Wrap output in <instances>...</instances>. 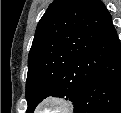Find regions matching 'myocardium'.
I'll use <instances>...</instances> for the list:
<instances>
[{
    "mask_svg": "<svg viewBox=\"0 0 121 113\" xmlns=\"http://www.w3.org/2000/svg\"><path fill=\"white\" fill-rule=\"evenodd\" d=\"M48 103L58 104L62 107L59 113H68L72 110V103L65 97L59 95H49L40 99L34 108L35 113H41L40 110Z\"/></svg>",
    "mask_w": 121,
    "mask_h": 113,
    "instance_id": "obj_1",
    "label": "myocardium"
}]
</instances>
